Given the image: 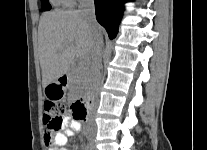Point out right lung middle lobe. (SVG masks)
Here are the masks:
<instances>
[{"instance_id":"dd1d6c3e","label":"right lung middle lobe","mask_w":207,"mask_h":150,"mask_svg":"<svg viewBox=\"0 0 207 150\" xmlns=\"http://www.w3.org/2000/svg\"><path fill=\"white\" fill-rule=\"evenodd\" d=\"M42 9L44 11H48L51 9V5L49 4L48 0H41Z\"/></svg>"}]
</instances>
